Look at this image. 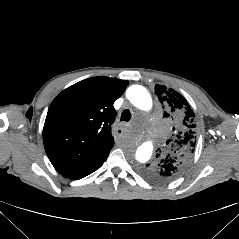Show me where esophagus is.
<instances>
[{
  "instance_id": "esophagus-1",
  "label": "esophagus",
  "mask_w": 239,
  "mask_h": 239,
  "mask_svg": "<svg viewBox=\"0 0 239 239\" xmlns=\"http://www.w3.org/2000/svg\"><path fill=\"white\" fill-rule=\"evenodd\" d=\"M114 134H115V136H117V137H121V136H123L124 131H123V129H122L121 127H116V128L114 129Z\"/></svg>"
}]
</instances>
